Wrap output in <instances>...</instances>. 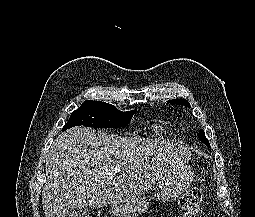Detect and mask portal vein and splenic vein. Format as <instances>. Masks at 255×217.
Masks as SVG:
<instances>
[{
    "label": "portal vein and splenic vein",
    "mask_w": 255,
    "mask_h": 217,
    "mask_svg": "<svg viewBox=\"0 0 255 217\" xmlns=\"http://www.w3.org/2000/svg\"><path fill=\"white\" fill-rule=\"evenodd\" d=\"M122 171V168L120 165H114L111 167L110 171H107L106 174L107 175H114L118 172H121Z\"/></svg>",
    "instance_id": "portal-vein-and-splenic-vein-1"
}]
</instances>
